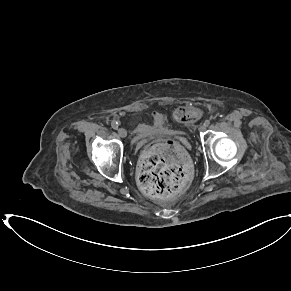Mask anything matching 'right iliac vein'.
Returning <instances> with one entry per match:
<instances>
[{"mask_svg":"<svg viewBox=\"0 0 291 291\" xmlns=\"http://www.w3.org/2000/svg\"><path fill=\"white\" fill-rule=\"evenodd\" d=\"M118 135L121 137V138H125L127 136V131L125 128H119L118 129Z\"/></svg>","mask_w":291,"mask_h":291,"instance_id":"1","label":"right iliac vein"}]
</instances>
